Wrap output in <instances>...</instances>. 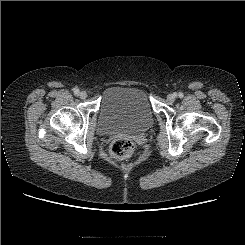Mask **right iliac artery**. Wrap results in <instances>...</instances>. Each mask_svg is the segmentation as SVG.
Wrapping results in <instances>:
<instances>
[{
    "instance_id": "right-iliac-artery-1",
    "label": "right iliac artery",
    "mask_w": 245,
    "mask_h": 245,
    "mask_svg": "<svg viewBox=\"0 0 245 245\" xmlns=\"http://www.w3.org/2000/svg\"><path fill=\"white\" fill-rule=\"evenodd\" d=\"M73 92H74L75 95H78V94H79V89L74 88V89H73Z\"/></svg>"
}]
</instances>
